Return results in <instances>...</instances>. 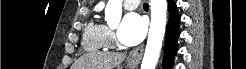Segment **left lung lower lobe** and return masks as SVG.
Returning <instances> with one entry per match:
<instances>
[{
	"instance_id": "left-lung-lower-lobe-1",
	"label": "left lung lower lobe",
	"mask_w": 246,
	"mask_h": 69,
	"mask_svg": "<svg viewBox=\"0 0 246 69\" xmlns=\"http://www.w3.org/2000/svg\"><path fill=\"white\" fill-rule=\"evenodd\" d=\"M168 9L170 12V18L166 32V44L164 47V69H169L172 66L173 58L177 51V38L180 34V16L177 12L176 3L173 0H168Z\"/></svg>"
}]
</instances>
